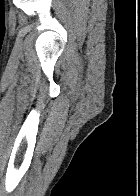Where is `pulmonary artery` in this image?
Listing matches in <instances>:
<instances>
[{"mask_svg": "<svg viewBox=\"0 0 140 196\" xmlns=\"http://www.w3.org/2000/svg\"><path fill=\"white\" fill-rule=\"evenodd\" d=\"M28 192H44V191H28Z\"/></svg>", "mask_w": 140, "mask_h": 196, "instance_id": "obj_1", "label": "pulmonary artery"}]
</instances>
